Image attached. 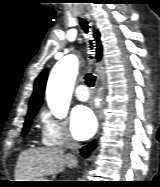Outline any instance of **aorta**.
I'll return each instance as SVG.
<instances>
[{
  "instance_id": "762f6f07",
  "label": "aorta",
  "mask_w": 160,
  "mask_h": 187,
  "mask_svg": "<svg viewBox=\"0 0 160 187\" xmlns=\"http://www.w3.org/2000/svg\"><path fill=\"white\" fill-rule=\"evenodd\" d=\"M77 73L78 59L74 55L62 58L50 73L46 99L52 113L57 117L64 116L68 111Z\"/></svg>"
}]
</instances>
